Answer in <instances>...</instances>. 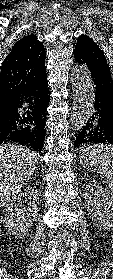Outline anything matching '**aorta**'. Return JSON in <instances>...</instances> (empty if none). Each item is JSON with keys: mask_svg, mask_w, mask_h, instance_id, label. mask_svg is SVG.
<instances>
[{"mask_svg": "<svg viewBox=\"0 0 113 279\" xmlns=\"http://www.w3.org/2000/svg\"><path fill=\"white\" fill-rule=\"evenodd\" d=\"M71 83L73 109L70 119L71 129L81 130L89 121L95 103V92L90 71L85 65L76 64L72 68Z\"/></svg>", "mask_w": 113, "mask_h": 279, "instance_id": "aorta-1", "label": "aorta"}]
</instances>
